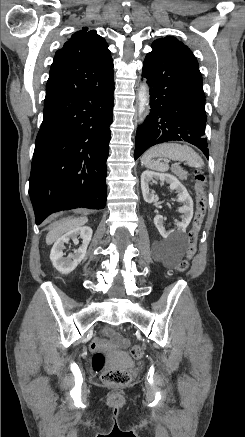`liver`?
I'll return each mask as SVG.
<instances>
[{"mask_svg":"<svg viewBox=\"0 0 245 437\" xmlns=\"http://www.w3.org/2000/svg\"><path fill=\"white\" fill-rule=\"evenodd\" d=\"M88 221L87 217H80L74 219L64 220L56 227L52 228L46 236V243L48 245L59 239L64 233H67L75 228L81 227Z\"/></svg>","mask_w":245,"mask_h":437,"instance_id":"1","label":"liver"}]
</instances>
